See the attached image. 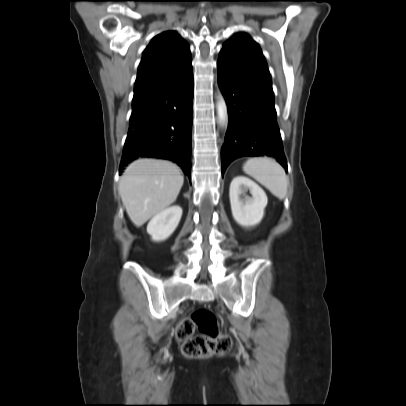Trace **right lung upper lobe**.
<instances>
[{
  "mask_svg": "<svg viewBox=\"0 0 406 406\" xmlns=\"http://www.w3.org/2000/svg\"><path fill=\"white\" fill-rule=\"evenodd\" d=\"M191 69L192 57L188 43L176 31L157 35L144 50L133 100L171 84Z\"/></svg>",
  "mask_w": 406,
  "mask_h": 406,
  "instance_id": "right-lung-upper-lobe-1",
  "label": "right lung upper lobe"
}]
</instances>
